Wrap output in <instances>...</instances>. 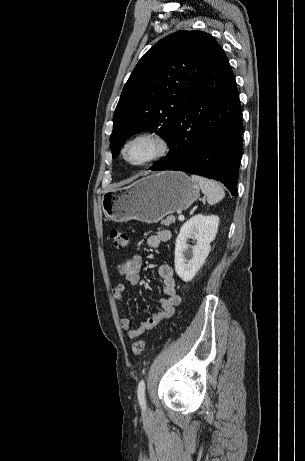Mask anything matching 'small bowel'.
Here are the masks:
<instances>
[{
    "label": "small bowel",
    "mask_w": 305,
    "mask_h": 461,
    "mask_svg": "<svg viewBox=\"0 0 305 461\" xmlns=\"http://www.w3.org/2000/svg\"><path fill=\"white\" fill-rule=\"evenodd\" d=\"M170 239L171 232L167 229H161L148 238L147 245L151 249H158ZM142 266V258L139 255L127 257L118 264L117 271L124 278L125 283H119L114 286L112 289L114 299L119 302L123 301L127 288L139 282ZM159 275L163 282V297L160 299L161 308L153 312L146 320L138 323L135 327H131L130 319L127 316H123L120 319V326L127 332L130 339L138 338L146 331L153 329L162 321L170 318L181 302V297L176 290V281L172 267L168 264L161 265L159 267Z\"/></svg>",
    "instance_id": "small-bowel-1"
}]
</instances>
